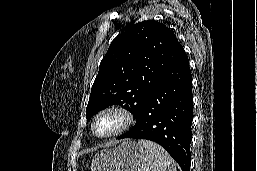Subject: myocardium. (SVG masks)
<instances>
[{"instance_id":"myocardium-1","label":"myocardium","mask_w":257,"mask_h":171,"mask_svg":"<svg viewBox=\"0 0 257 171\" xmlns=\"http://www.w3.org/2000/svg\"><path fill=\"white\" fill-rule=\"evenodd\" d=\"M116 114L120 118V124L113 131L106 134H97L95 130L96 122L106 114ZM134 123V114L125 106L113 104L108 105L99 110L93 117L91 122V131L98 138H111L118 136L127 131Z\"/></svg>"}]
</instances>
